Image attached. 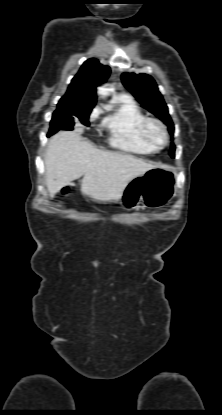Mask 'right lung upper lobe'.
<instances>
[{
  "instance_id": "1",
  "label": "right lung upper lobe",
  "mask_w": 222,
  "mask_h": 415,
  "mask_svg": "<svg viewBox=\"0 0 222 415\" xmlns=\"http://www.w3.org/2000/svg\"><path fill=\"white\" fill-rule=\"evenodd\" d=\"M110 68L97 59H88L72 79L66 94L60 99L57 109L70 106H93L96 103V87L105 82Z\"/></svg>"
}]
</instances>
